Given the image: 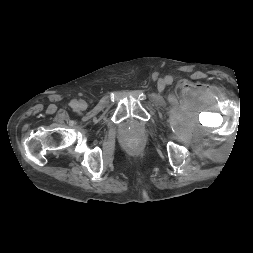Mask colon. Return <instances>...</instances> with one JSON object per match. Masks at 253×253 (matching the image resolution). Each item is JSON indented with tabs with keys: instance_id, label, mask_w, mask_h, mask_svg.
<instances>
[{
	"instance_id": "1",
	"label": "colon",
	"mask_w": 253,
	"mask_h": 253,
	"mask_svg": "<svg viewBox=\"0 0 253 253\" xmlns=\"http://www.w3.org/2000/svg\"><path fill=\"white\" fill-rule=\"evenodd\" d=\"M138 140L136 138H132L128 141V145L131 149H136L138 147Z\"/></svg>"
}]
</instances>
